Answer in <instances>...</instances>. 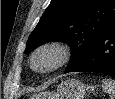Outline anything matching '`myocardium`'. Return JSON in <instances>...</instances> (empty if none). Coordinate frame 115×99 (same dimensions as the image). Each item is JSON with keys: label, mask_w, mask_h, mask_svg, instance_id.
Segmentation results:
<instances>
[{"label": "myocardium", "mask_w": 115, "mask_h": 99, "mask_svg": "<svg viewBox=\"0 0 115 99\" xmlns=\"http://www.w3.org/2000/svg\"><path fill=\"white\" fill-rule=\"evenodd\" d=\"M43 52H52L56 56L55 63L46 68V69H39L35 66V59L36 57L43 53ZM72 56V50L71 47L64 41H49L45 42L41 45H39L31 54L30 57V66L31 68L40 74H49L52 73L61 67H63L65 64H67Z\"/></svg>", "instance_id": "obj_1"}]
</instances>
